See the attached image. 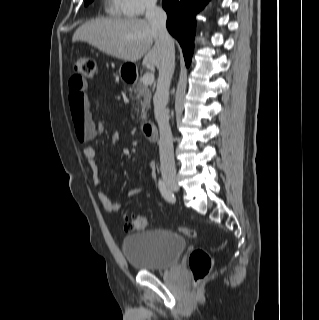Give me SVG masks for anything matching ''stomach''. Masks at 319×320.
Listing matches in <instances>:
<instances>
[{"label": "stomach", "mask_w": 319, "mask_h": 320, "mask_svg": "<svg viewBox=\"0 0 319 320\" xmlns=\"http://www.w3.org/2000/svg\"><path fill=\"white\" fill-rule=\"evenodd\" d=\"M121 68H122V67H121ZM121 68H120V70H119L120 74H121Z\"/></svg>", "instance_id": "obj_1"}]
</instances>
